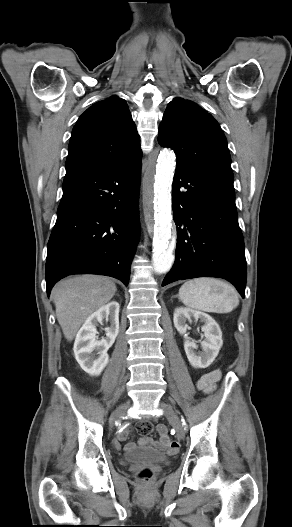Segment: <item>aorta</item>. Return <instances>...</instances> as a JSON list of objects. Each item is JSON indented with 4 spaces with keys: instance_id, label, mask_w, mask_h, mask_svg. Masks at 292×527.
Listing matches in <instances>:
<instances>
[{
    "instance_id": "obj_1",
    "label": "aorta",
    "mask_w": 292,
    "mask_h": 527,
    "mask_svg": "<svg viewBox=\"0 0 292 527\" xmlns=\"http://www.w3.org/2000/svg\"><path fill=\"white\" fill-rule=\"evenodd\" d=\"M175 164L174 153L163 150L156 165L150 164L143 180L145 202L154 209L153 260L158 273L169 271L173 263L171 185Z\"/></svg>"
}]
</instances>
